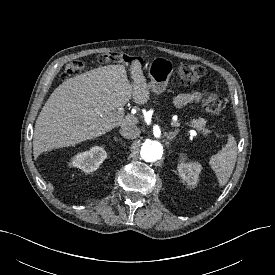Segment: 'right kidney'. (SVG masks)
Returning a JSON list of instances; mask_svg holds the SVG:
<instances>
[{"label":"right kidney","mask_w":275,"mask_h":275,"mask_svg":"<svg viewBox=\"0 0 275 275\" xmlns=\"http://www.w3.org/2000/svg\"><path fill=\"white\" fill-rule=\"evenodd\" d=\"M107 153L100 146H94L89 151H85L77 154L71 164L73 167L82 169L86 173L93 172L99 168V166L106 159Z\"/></svg>","instance_id":"obj_1"}]
</instances>
